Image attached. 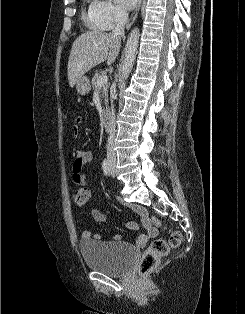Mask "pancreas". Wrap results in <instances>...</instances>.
<instances>
[{
    "label": "pancreas",
    "mask_w": 245,
    "mask_h": 314,
    "mask_svg": "<svg viewBox=\"0 0 245 314\" xmlns=\"http://www.w3.org/2000/svg\"><path fill=\"white\" fill-rule=\"evenodd\" d=\"M101 75L99 73H95V75L92 78V86L95 90L99 92L100 98L104 99L106 107L108 106V85L105 84L101 87L97 86V80Z\"/></svg>",
    "instance_id": "pancreas-1"
}]
</instances>
